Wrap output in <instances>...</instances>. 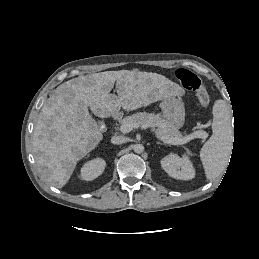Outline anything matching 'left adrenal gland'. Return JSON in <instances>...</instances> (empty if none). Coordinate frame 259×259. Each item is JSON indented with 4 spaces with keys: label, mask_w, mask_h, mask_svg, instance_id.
<instances>
[{
    "label": "left adrenal gland",
    "mask_w": 259,
    "mask_h": 259,
    "mask_svg": "<svg viewBox=\"0 0 259 259\" xmlns=\"http://www.w3.org/2000/svg\"><path fill=\"white\" fill-rule=\"evenodd\" d=\"M156 144L167 145L166 143H162V142H156Z\"/></svg>",
    "instance_id": "left-adrenal-gland-1"
}]
</instances>
